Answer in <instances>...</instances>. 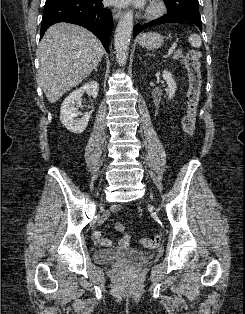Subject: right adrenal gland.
Listing matches in <instances>:
<instances>
[{"instance_id":"right-adrenal-gland-1","label":"right adrenal gland","mask_w":245,"mask_h":314,"mask_svg":"<svg viewBox=\"0 0 245 314\" xmlns=\"http://www.w3.org/2000/svg\"><path fill=\"white\" fill-rule=\"evenodd\" d=\"M98 66V65H97ZM97 66L94 68V71L97 72Z\"/></svg>"}]
</instances>
